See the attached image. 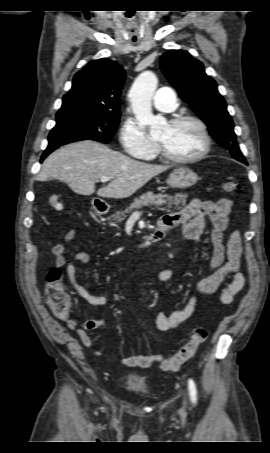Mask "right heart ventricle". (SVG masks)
Returning <instances> with one entry per match:
<instances>
[{
    "label": "right heart ventricle",
    "mask_w": 270,
    "mask_h": 453,
    "mask_svg": "<svg viewBox=\"0 0 270 453\" xmlns=\"http://www.w3.org/2000/svg\"><path fill=\"white\" fill-rule=\"evenodd\" d=\"M153 155H154V154H153ZM153 155H151V156H149V157H147V158H152V157H153Z\"/></svg>",
    "instance_id": "right-heart-ventricle-1"
}]
</instances>
